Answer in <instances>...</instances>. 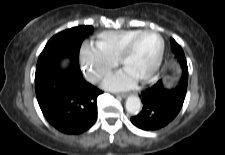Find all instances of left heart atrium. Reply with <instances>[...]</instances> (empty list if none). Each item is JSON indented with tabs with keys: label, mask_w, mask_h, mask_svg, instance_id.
Here are the masks:
<instances>
[{
	"label": "left heart atrium",
	"mask_w": 225,
	"mask_h": 155,
	"mask_svg": "<svg viewBox=\"0 0 225 155\" xmlns=\"http://www.w3.org/2000/svg\"><path fill=\"white\" fill-rule=\"evenodd\" d=\"M138 79L126 69H122L110 76L103 82V86L109 90H125L136 85Z\"/></svg>",
	"instance_id": "left-heart-atrium-1"
}]
</instances>
